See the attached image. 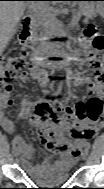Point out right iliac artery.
<instances>
[{"mask_svg":"<svg viewBox=\"0 0 104 189\" xmlns=\"http://www.w3.org/2000/svg\"><path fill=\"white\" fill-rule=\"evenodd\" d=\"M13 148H16V144L15 143H13Z\"/></svg>","mask_w":104,"mask_h":189,"instance_id":"right-iliac-artery-1","label":"right iliac artery"}]
</instances>
